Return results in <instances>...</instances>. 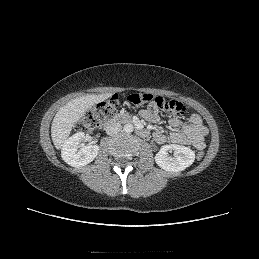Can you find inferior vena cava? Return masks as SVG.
I'll return each instance as SVG.
<instances>
[{"label": "inferior vena cava", "mask_w": 259, "mask_h": 259, "mask_svg": "<svg viewBox=\"0 0 259 259\" xmlns=\"http://www.w3.org/2000/svg\"><path fill=\"white\" fill-rule=\"evenodd\" d=\"M122 129V126L120 123L117 122H111L106 126V133L108 135H114L120 132Z\"/></svg>", "instance_id": "obj_1"}]
</instances>
